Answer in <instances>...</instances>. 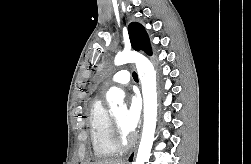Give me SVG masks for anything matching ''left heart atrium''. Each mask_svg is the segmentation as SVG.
Returning <instances> with one entry per match:
<instances>
[{
	"label": "left heart atrium",
	"mask_w": 251,
	"mask_h": 164,
	"mask_svg": "<svg viewBox=\"0 0 251 164\" xmlns=\"http://www.w3.org/2000/svg\"><path fill=\"white\" fill-rule=\"evenodd\" d=\"M141 115V100L138 95H131L128 108L123 118V129L126 133H131L137 127Z\"/></svg>",
	"instance_id": "39dd6f15"
}]
</instances>
